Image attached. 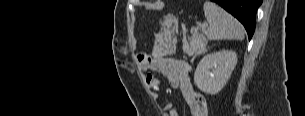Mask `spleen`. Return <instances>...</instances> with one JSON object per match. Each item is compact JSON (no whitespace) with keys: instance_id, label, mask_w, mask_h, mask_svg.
<instances>
[{"instance_id":"1","label":"spleen","mask_w":305,"mask_h":116,"mask_svg":"<svg viewBox=\"0 0 305 116\" xmlns=\"http://www.w3.org/2000/svg\"><path fill=\"white\" fill-rule=\"evenodd\" d=\"M205 17L209 23L205 34L209 40H226L244 38L242 24L217 4L206 1L203 6Z\"/></svg>"}]
</instances>
